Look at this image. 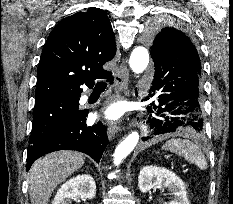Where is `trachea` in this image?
<instances>
[{
  "label": "trachea",
  "instance_id": "1",
  "mask_svg": "<svg viewBox=\"0 0 233 204\" xmlns=\"http://www.w3.org/2000/svg\"><path fill=\"white\" fill-rule=\"evenodd\" d=\"M106 83L105 82H98L95 86V89H104L106 88Z\"/></svg>",
  "mask_w": 233,
  "mask_h": 204
}]
</instances>
